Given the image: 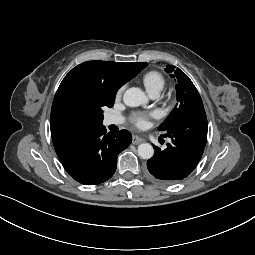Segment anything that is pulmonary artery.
I'll return each mask as SVG.
<instances>
[{
  "mask_svg": "<svg viewBox=\"0 0 255 255\" xmlns=\"http://www.w3.org/2000/svg\"><path fill=\"white\" fill-rule=\"evenodd\" d=\"M152 98H156L158 96L157 93L150 94ZM123 118L118 116H107L104 120L105 125H119L123 123Z\"/></svg>",
  "mask_w": 255,
  "mask_h": 255,
  "instance_id": "pulmonary-artery-1",
  "label": "pulmonary artery"
}]
</instances>
